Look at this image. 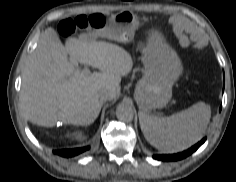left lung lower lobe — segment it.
I'll use <instances>...</instances> for the list:
<instances>
[{"label": "left lung lower lobe", "instance_id": "left-lung-lower-lobe-1", "mask_svg": "<svg viewBox=\"0 0 236 182\" xmlns=\"http://www.w3.org/2000/svg\"><path fill=\"white\" fill-rule=\"evenodd\" d=\"M220 111H221V108H220ZM205 140H206V138H203L200 142H198L197 144H195L190 149H188L184 152L177 153V154H171V155H154L153 158L157 159V160H162V161L181 160V159L189 156L190 154H192L194 151H196L205 142Z\"/></svg>", "mask_w": 236, "mask_h": 182}]
</instances>
